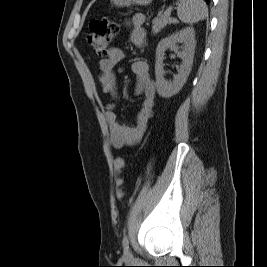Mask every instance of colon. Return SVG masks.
Returning a JSON list of instances; mask_svg holds the SVG:
<instances>
[{"label": "colon", "mask_w": 267, "mask_h": 267, "mask_svg": "<svg viewBox=\"0 0 267 267\" xmlns=\"http://www.w3.org/2000/svg\"><path fill=\"white\" fill-rule=\"evenodd\" d=\"M88 43L91 48L100 56H106L110 51V44L118 31V25L108 18L94 19L89 24ZM125 167L123 158H116L114 168L117 173L121 172ZM122 180L117 179V197L122 198L123 193L120 189Z\"/></svg>", "instance_id": "obj_1"}]
</instances>
